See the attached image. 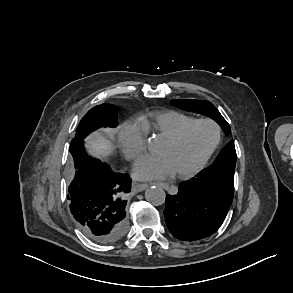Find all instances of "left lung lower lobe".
<instances>
[{
  "mask_svg": "<svg viewBox=\"0 0 293 293\" xmlns=\"http://www.w3.org/2000/svg\"><path fill=\"white\" fill-rule=\"evenodd\" d=\"M234 196V174H205L180 184L167 195L165 220L172 235L196 241L214 233L223 223Z\"/></svg>",
  "mask_w": 293,
  "mask_h": 293,
  "instance_id": "1",
  "label": "left lung lower lobe"
}]
</instances>
